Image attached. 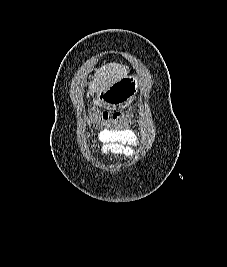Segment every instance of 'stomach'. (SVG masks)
Masks as SVG:
<instances>
[{"mask_svg":"<svg viewBox=\"0 0 227 267\" xmlns=\"http://www.w3.org/2000/svg\"><path fill=\"white\" fill-rule=\"evenodd\" d=\"M137 81V77H118V82L114 83L115 87H104L103 91H95L91 104H103V101H110L107 102V107H124L123 101H134L141 83H148Z\"/></svg>","mask_w":227,"mask_h":267,"instance_id":"0dacf381","label":"stomach"}]
</instances>
